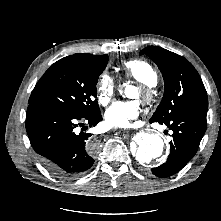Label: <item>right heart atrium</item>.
I'll list each match as a JSON object with an SVG mask.
<instances>
[{"label": "right heart atrium", "mask_w": 221, "mask_h": 221, "mask_svg": "<svg viewBox=\"0 0 221 221\" xmlns=\"http://www.w3.org/2000/svg\"><path fill=\"white\" fill-rule=\"evenodd\" d=\"M117 85L114 78L103 73L96 84V98L99 104L106 105L116 91Z\"/></svg>", "instance_id": "right-heart-atrium-1"}]
</instances>
